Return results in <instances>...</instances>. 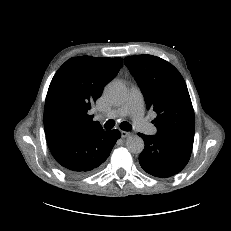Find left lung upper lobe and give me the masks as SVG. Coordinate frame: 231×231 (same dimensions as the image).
<instances>
[{
    "instance_id": "1",
    "label": "left lung upper lobe",
    "mask_w": 231,
    "mask_h": 231,
    "mask_svg": "<svg viewBox=\"0 0 231 231\" xmlns=\"http://www.w3.org/2000/svg\"><path fill=\"white\" fill-rule=\"evenodd\" d=\"M137 81L147 105L156 112L157 136L194 141L195 117L190 95L179 71L169 62L152 55L124 59Z\"/></svg>"
}]
</instances>
